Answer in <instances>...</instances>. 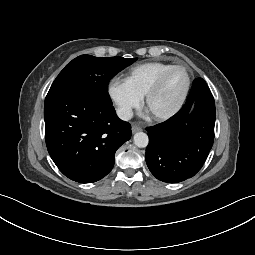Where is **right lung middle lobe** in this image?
I'll use <instances>...</instances> for the list:
<instances>
[{"mask_svg":"<svg viewBox=\"0 0 255 255\" xmlns=\"http://www.w3.org/2000/svg\"><path fill=\"white\" fill-rule=\"evenodd\" d=\"M136 60L137 58L78 56L59 73L48 93L81 92L96 97L105 105L112 106L108 94L109 81Z\"/></svg>","mask_w":255,"mask_h":255,"instance_id":"dd1d6c3e","label":"right lung middle lobe"}]
</instances>
